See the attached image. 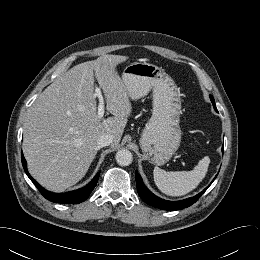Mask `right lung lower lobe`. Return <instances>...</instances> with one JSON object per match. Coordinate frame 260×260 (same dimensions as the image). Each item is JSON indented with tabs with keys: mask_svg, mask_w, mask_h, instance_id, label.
<instances>
[{
	"mask_svg": "<svg viewBox=\"0 0 260 260\" xmlns=\"http://www.w3.org/2000/svg\"><path fill=\"white\" fill-rule=\"evenodd\" d=\"M22 157V165L24 167V170L27 174V176L30 178V180L34 183V185L38 188V190L41 192V194L48 199L49 201L55 202V203H65V204H78L83 202L88 198L94 187L96 186L98 182V178L100 175V172L97 173V175L94 177V179L84 188H80L75 191L67 192V193H52L47 191L46 189L42 188L28 173L27 167H26V160L23 156Z\"/></svg>",
	"mask_w": 260,
	"mask_h": 260,
	"instance_id": "98d812e1",
	"label": "right lung lower lobe"
}]
</instances>
